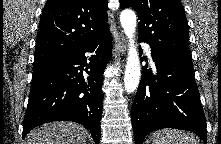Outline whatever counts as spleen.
<instances>
[{
  "label": "spleen",
  "mask_w": 221,
  "mask_h": 144,
  "mask_svg": "<svg viewBox=\"0 0 221 144\" xmlns=\"http://www.w3.org/2000/svg\"><path fill=\"white\" fill-rule=\"evenodd\" d=\"M153 144H199L192 133L178 129H163L154 134Z\"/></svg>",
  "instance_id": "obj_1"
}]
</instances>
